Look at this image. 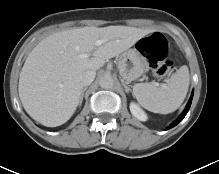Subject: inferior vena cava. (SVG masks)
I'll return each mask as SVG.
<instances>
[{
    "label": "inferior vena cava",
    "mask_w": 219,
    "mask_h": 174,
    "mask_svg": "<svg viewBox=\"0 0 219 174\" xmlns=\"http://www.w3.org/2000/svg\"><path fill=\"white\" fill-rule=\"evenodd\" d=\"M95 76H96V72L94 70L85 71L81 75V81H82L83 85L84 86L90 85L93 82V80L95 79Z\"/></svg>",
    "instance_id": "inferior-vena-cava-1"
}]
</instances>
